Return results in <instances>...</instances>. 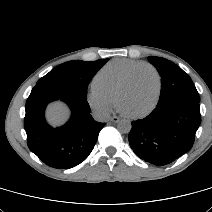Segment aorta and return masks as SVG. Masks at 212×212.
Here are the masks:
<instances>
[{"mask_svg":"<svg viewBox=\"0 0 212 212\" xmlns=\"http://www.w3.org/2000/svg\"><path fill=\"white\" fill-rule=\"evenodd\" d=\"M131 122L129 120H121L119 123H118V130L121 132V133H129L130 130H131Z\"/></svg>","mask_w":212,"mask_h":212,"instance_id":"aorta-1","label":"aorta"}]
</instances>
